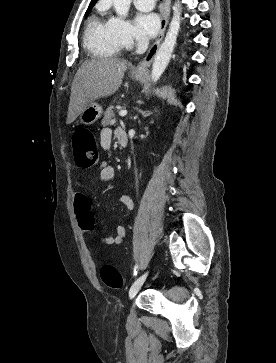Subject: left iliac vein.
Returning <instances> with one entry per match:
<instances>
[{
    "instance_id": "4c4485c4",
    "label": "left iliac vein",
    "mask_w": 276,
    "mask_h": 363,
    "mask_svg": "<svg viewBox=\"0 0 276 363\" xmlns=\"http://www.w3.org/2000/svg\"><path fill=\"white\" fill-rule=\"evenodd\" d=\"M147 276H148V271H146L145 273H143L140 277H138L134 281V283L132 284V286H131V288L129 290V296H130V298H133L138 293V291L140 290V288L144 284Z\"/></svg>"
}]
</instances>
